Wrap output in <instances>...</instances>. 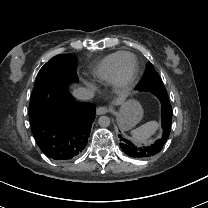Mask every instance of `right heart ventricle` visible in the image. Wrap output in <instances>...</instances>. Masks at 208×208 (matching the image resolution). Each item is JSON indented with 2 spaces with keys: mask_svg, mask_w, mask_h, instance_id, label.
<instances>
[{
  "mask_svg": "<svg viewBox=\"0 0 208 208\" xmlns=\"http://www.w3.org/2000/svg\"><path fill=\"white\" fill-rule=\"evenodd\" d=\"M135 58L134 53L123 50L107 55L92 67L89 74L91 82L100 88L115 87L121 66Z\"/></svg>",
  "mask_w": 208,
  "mask_h": 208,
  "instance_id": "e07e8e85",
  "label": "right heart ventricle"
}]
</instances>
